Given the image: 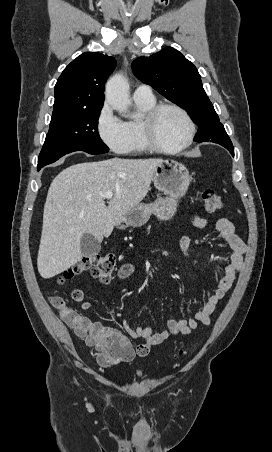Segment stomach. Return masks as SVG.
Returning <instances> with one entry per match:
<instances>
[{
	"mask_svg": "<svg viewBox=\"0 0 272 452\" xmlns=\"http://www.w3.org/2000/svg\"><path fill=\"white\" fill-rule=\"evenodd\" d=\"M152 181L155 188L165 197H158L150 204H137L120 222L122 228L140 227L152 214L162 221L171 219L177 211L179 199L188 190L191 176L182 163L166 159L156 167Z\"/></svg>",
	"mask_w": 272,
	"mask_h": 452,
	"instance_id": "obj_1",
	"label": "stomach"
}]
</instances>
